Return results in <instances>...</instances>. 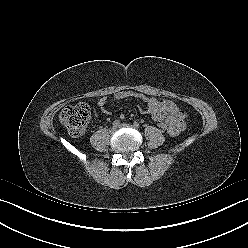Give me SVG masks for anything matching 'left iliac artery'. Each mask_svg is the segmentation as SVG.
Returning <instances> with one entry per match:
<instances>
[{
	"label": "left iliac artery",
	"instance_id": "1",
	"mask_svg": "<svg viewBox=\"0 0 248 248\" xmlns=\"http://www.w3.org/2000/svg\"><path fill=\"white\" fill-rule=\"evenodd\" d=\"M133 126H134L135 128H138V127H139V123H138V122H134V123H133Z\"/></svg>",
	"mask_w": 248,
	"mask_h": 248
}]
</instances>
